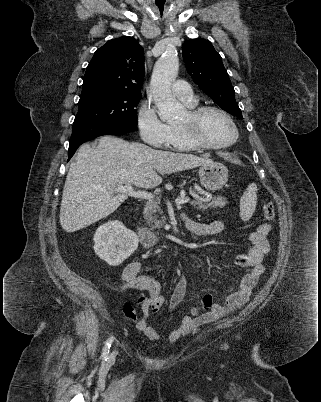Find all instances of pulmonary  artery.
I'll return each instance as SVG.
<instances>
[{
  "label": "pulmonary artery",
  "instance_id": "pulmonary-artery-1",
  "mask_svg": "<svg viewBox=\"0 0 321 402\" xmlns=\"http://www.w3.org/2000/svg\"><path fill=\"white\" fill-rule=\"evenodd\" d=\"M173 94L186 104L194 103L197 101L193 94L191 86L182 80H177L172 85Z\"/></svg>",
  "mask_w": 321,
  "mask_h": 402
}]
</instances>
